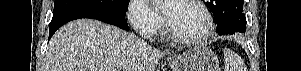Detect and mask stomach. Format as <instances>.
<instances>
[{
  "label": "stomach",
  "instance_id": "1",
  "mask_svg": "<svg viewBox=\"0 0 301 71\" xmlns=\"http://www.w3.org/2000/svg\"><path fill=\"white\" fill-rule=\"evenodd\" d=\"M169 63L172 71H220L216 54L204 46L186 51Z\"/></svg>",
  "mask_w": 301,
  "mask_h": 71
}]
</instances>
